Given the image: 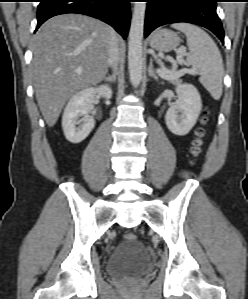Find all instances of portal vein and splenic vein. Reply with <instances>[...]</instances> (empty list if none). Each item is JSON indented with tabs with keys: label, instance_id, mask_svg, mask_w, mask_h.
Here are the masks:
<instances>
[{
	"label": "portal vein and splenic vein",
	"instance_id": "18ae733b",
	"mask_svg": "<svg viewBox=\"0 0 248 299\" xmlns=\"http://www.w3.org/2000/svg\"><path fill=\"white\" fill-rule=\"evenodd\" d=\"M157 72L165 79L168 78H179L182 75L186 74V73H194L195 70L194 69H187V68H183L179 71H164L161 69H158Z\"/></svg>",
	"mask_w": 248,
	"mask_h": 299
}]
</instances>
